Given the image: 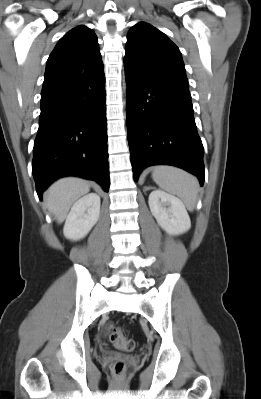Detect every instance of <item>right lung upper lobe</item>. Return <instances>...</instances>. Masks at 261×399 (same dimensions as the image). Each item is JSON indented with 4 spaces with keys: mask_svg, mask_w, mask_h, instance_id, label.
<instances>
[{
    "mask_svg": "<svg viewBox=\"0 0 261 399\" xmlns=\"http://www.w3.org/2000/svg\"><path fill=\"white\" fill-rule=\"evenodd\" d=\"M103 75V63L94 31L84 25L66 33L50 54L41 96L73 87Z\"/></svg>",
    "mask_w": 261,
    "mask_h": 399,
    "instance_id": "1",
    "label": "right lung upper lobe"
}]
</instances>
